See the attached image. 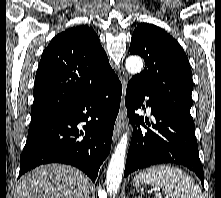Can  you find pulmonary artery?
<instances>
[{
    "label": "pulmonary artery",
    "instance_id": "pulmonary-artery-1",
    "mask_svg": "<svg viewBox=\"0 0 221 198\" xmlns=\"http://www.w3.org/2000/svg\"><path fill=\"white\" fill-rule=\"evenodd\" d=\"M148 112L151 113V108H150V106H148Z\"/></svg>",
    "mask_w": 221,
    "mask_h": 198
}]
</instances>
